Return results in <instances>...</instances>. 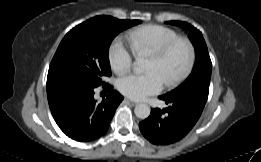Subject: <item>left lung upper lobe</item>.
<instances>
[{
  "label": "left lung upper lobe",
  "mask_w": 261,
  "mask_h": 162,
  "mask_svg": "<svg viewBox=\"0 0 261 162\" xmlns=\"http://www.w3.org/2000/svg\"><path fill=\"white\" fill-rule=\"evenodd\" d=\"M168 23L184 27L191 31L189 39L194 46L196 59L192 72L188 78L179 87L165 95H175L180 92H193L204 98H208L212 63L205 40L195 27L186 22L170 21Z\"/></svg>",
  "instance_id": "left-lung-upper-lobe-1"
}]
</instances>
